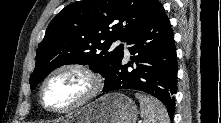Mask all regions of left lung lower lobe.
I'll list each match as a JSON object with an SVG mask.
<instances>
[{
    "mask_svg": "<svg viewBox=\"0 0 221 123\" xmlns=\"http://www.w3.org/2000/svg\"><path fill=\"white\" fill-rule=\"evenodd\" d=\"M131 61L121 56L106 78L103 92L134 89L158 98L171 119L175 113L177 57L170 21L160 2L127 39Z\"/></svg>",
    "mask_w": 221,
    "mask_h": 123,
    "instance_id": "left-lung-lower-lobe-1",
    "label": "left lung lower lobe"
}]
</instances>
